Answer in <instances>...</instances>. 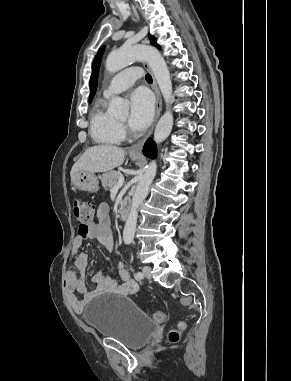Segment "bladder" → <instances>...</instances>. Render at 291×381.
<instances>
[{"instance_id":"1","label":"bladder","mask_w":291,"mask_h":381,"mask_svg":"<svg viewBox=\"0 0 291 381\" xmlns=\"http://www.w3.org/2000/svg\"><path fill=\"white\" fill-rule=\"evenodd\" d=\"M84 318L100 336L118 340L131 349L148 343L157 328L130 297L101 296L86 310Z\"/></svg>"}]
</instances>
